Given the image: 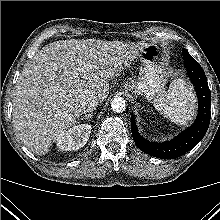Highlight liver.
<instances>
[{
    "mask_svg": "<svg viewBox=\"0 0 220 220\" xmlns=\"http://www.w3.org/2000/svg\"><path fill=\"white\" fill-rule=\"evenodd\" d=\"M145 46L96 39L44 46L25 64L13 94V125L21 142L37 155L48 153L58 135L77 123L81 102L92 96L104 101L108 80L128 67Z\"/></svg>",
    "mask_w": 220,
    "mask_h": 220,
    "instance_id": "liver-1",
    "label": "liver"
}]
</instances>
